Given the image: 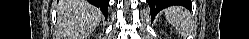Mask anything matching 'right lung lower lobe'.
Masks as SVG:
<instances>
[{"instance_id":"98d812e1","label":"right lung lower lobe","mask_w":249,"mask_h":39,"mask_svg":"<svg viewBox=\"0 0 249 39\" xmlns=\"http://www.w3.org/2000/svg\"><path fill=\"white\" fill-rule=\"evenodd\" d=\"M90 2L96 7L100 8V10L107 17L109 0H90Z\"/></svg>"}]
</instances>
